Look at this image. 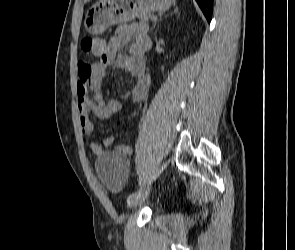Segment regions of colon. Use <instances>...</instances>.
<instances>
[{
  "mask_svg": "<svg viewBox=\"0 0 295 250\" xmlns=\"http://www.w3.org/2000/svg\"><path fill=\"white\" fill-rule=\"evenodd\" d=\"M103 39L99 37H85L81 42V48L84 52L93 53L102 46Z\"/></svg>",
  "mask_w": 295,
  "mask_h": 250,
  "instance_id": "obj_1",
  "label": "colon"
}]
</instances>
